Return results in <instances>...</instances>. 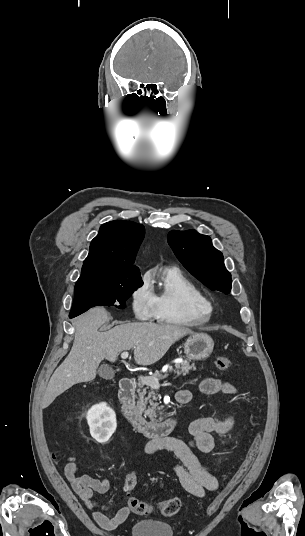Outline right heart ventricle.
I'll list each match as a JSON object with an SVG mask.
<instances>
[{
  "mask_svg": "<svg viewBox=\"0 0 305 536\" xmlns=\"http://www.w3.org/2000/svg\"><path fill=\"white\" fill-rule=\"evenodd\" d=\"M157 321L172 325L200 326L211 320L208 299L177 268L162 270L151 284Z\"/></svg>",
  "mask_w": 305,
  "mask_h": 536,
  "instance_id": "right-heart-ventricle-1",
  "label": "right heart ventricle"
}]
</instances>
